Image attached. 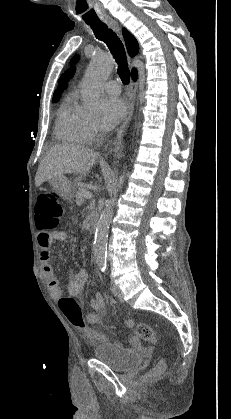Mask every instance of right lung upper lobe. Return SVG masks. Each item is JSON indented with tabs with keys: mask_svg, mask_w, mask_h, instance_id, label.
<instances>
[{
	"mask_svg": "<svg viewBox=\"0 0 231 419\" xmlns=\"http://www.w3.org/2000/svg\"><path fill=\"white\" fill-rule=\"evenodd\" d=\"M123 36L125 39V43H126V47L128 49L129 55L131 57L137 55L138 51H139V46H138V42L135 39V37L129 32L127 31L125 28L123 29ZM75 72L74 70H71L70 72L65 73L64 75L61 76V78L58 80L59 82V86L58 88L55 90L53 98H59L61 92L63 91V89H65L67 87V82L73 77Z\"/></svg>",
	"mask_w": 231,
	"mask_h": 419,
	"instance_id": "cb5924a9",
	"label": "right lung upper lobe"
}]
</instances>
